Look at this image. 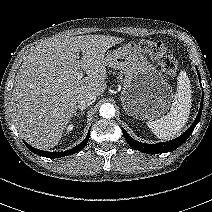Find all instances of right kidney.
Here are the masks:
<instances>
[{"mask_svg":"<svg viewBox=\"0 0 212 212\" xmlns=\"http://www.w3.org/2000/svg\"><path fill=\"white\" fill-rule=\"evenodd\" d=\"M73 127H74V125H72V124L68 125L67 131L69 132V131L73 130Z\"/></svg>","mask_w":212,"mask_h":212,"instance_id":"obj_1","label":"right kidney"}]
</instances>
